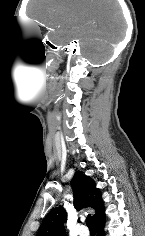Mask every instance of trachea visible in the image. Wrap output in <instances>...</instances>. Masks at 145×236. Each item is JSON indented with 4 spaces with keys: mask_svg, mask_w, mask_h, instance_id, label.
<instances>
[{
    "mask_svg": "<svg viewBox=\"0 0 145 236\" xmlns=\"http://www.w3.org/2000/svg\"><path fill=\"white\" fill-rule=\"evenodd\" d=\"M86 224H87L89 229H95V224H94L93 219H92L91 216H88L86 218Z\"/></svg>",
    "mask_w": 145,
    "mask_h": 236,
    "instance_id": "trachea-1",
    "label": "trachea"
}]
</instances>
